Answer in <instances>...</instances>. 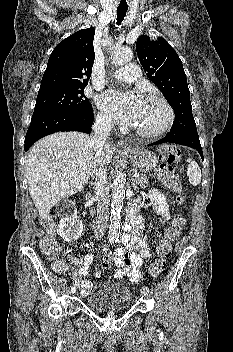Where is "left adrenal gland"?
Wrapping results in <instances>:
<instances>
[{
  "label": "left adrenal gland",
  "instance_id": "a2214340",
  "mask_svg": "<svg viewBox=\"0 0 233 352\" xmlns=\"http://www.w3.org/2000/svg\"><path fill=\"white\" fill-rule=\"evenodd\" d=\"M131 184H132V187L134 188V189H137V187H136V185H135V179L132 177V182H131Z\"/></svg>",
  "mask_w": 233,
  "mask_h": 352
}]
</instances>
